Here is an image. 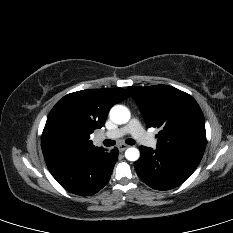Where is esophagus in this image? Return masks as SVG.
<instances>
[{"label": "esophagus", "mask_w": 233, "mask_h": 233, "mask_svg": "<svg viewBox=\"0 0 233 233\" xmlns=\"http://www.w3.org/2000/svg\"><path fill=\"white\" fill-rule=\"evenodd\" d=\"M128 147H129V146L126 145V144H120V145L118 146V149H119L120 152H122V151L126 150Z\"/></svg>", "instance_id": "obj_1"}]
</instances>
